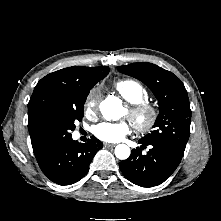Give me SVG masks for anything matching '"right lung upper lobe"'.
<instances>
[{
	"label": "right lung upper lobe",
	"instance_id": "obj_1",
	"mask_svg": "<svg viewBox=\"0 0 221 221\" xmlns=\"http://www.w3.org/2000/svg\"><path fill=\"white\" fill-rule=\"evenodd\" d=\"M108 73L106 66H73L50 73L38 82L28 103V129L35 155L50 144L43 129L48 115L77 90L96 84Z\"/></svg>",
	"mask_w": 221,
	"mask_h": 221
}]
</instances>
